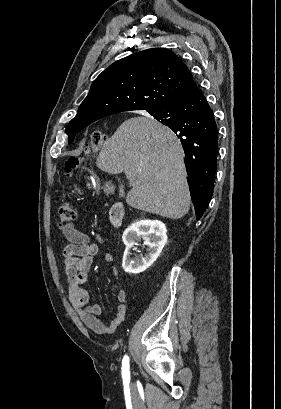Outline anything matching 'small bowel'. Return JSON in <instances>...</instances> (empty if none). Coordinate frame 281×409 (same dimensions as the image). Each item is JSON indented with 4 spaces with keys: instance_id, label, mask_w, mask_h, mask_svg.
Masks as SVG:
<instances>
[{
    "instance_id": "obj_1",
    "label": "small bowel",
    "mask_w": 281,
    "mask_h": 409,
    "mask_svg": "<svg viewBox=\"0 0 281 409\" xmlns=\"http://www.w3.org/2000/svg\"><path fill=\"white\" fill-rule=\"evenodd\" d=\"M64 235L69 242L62 250V270L66 279L69 300L77 310L81 321L88 328L100 335H110L116 331L126 317L127 292L123 289L117 292L118 305L115 315L108 325H104L97 317L102 313V306L97 303L91 304L90 293L82 288V285L88 281V271L94 256L98 254L99 247L91 241L87 234L72 225L64 228ZM104 259L113 267L112 254H106Z\"/></svg>"
}]
</instances>
